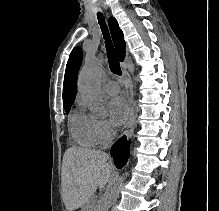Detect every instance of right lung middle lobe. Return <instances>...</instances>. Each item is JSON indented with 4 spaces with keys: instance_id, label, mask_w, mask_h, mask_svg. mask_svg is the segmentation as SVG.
<instances>
[{
    "instance_id": "obj_1",
    "label": "right lung middle lobe",
    "mask_w": 219,
    "mask_h": 211,
    "mask_svg": "<svg viewBox=\"0 0 219 211\" xmlns=\"http://www.w3.org/2000/svg\"><path fill=\"white\" fill-rule=\"evenodd\" d=\"M71 105L72 104L63 105L66 113H69Z\"/></svg>"
}]
</instances>
